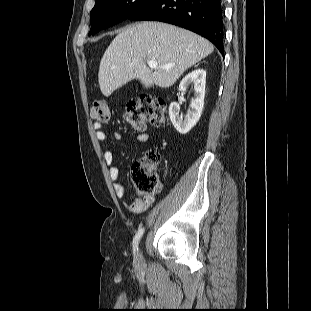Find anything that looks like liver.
Returning a JSON list of instances; mask_svg holds the SVG:
<instances>
[{"instance_id":"6515ba94","label":"liver","mask_w":311,"mask_h":311,"mask_svg":"<svg viewBox=\"0 0 311 311\" xmlns=\"http://www.w3.org/2000/svg\"><path fill=\"white\" fill-rule=\"evenodd\" d=\"M213 49L207 39L167 23L146 21L130 25L118 33L100 61V90L108 97L132 79L140 80L146 88L170 87ZM146 60L157 62L158 68H148ZM165 65L173 67L161 68Z\"/></svg>"}]
</instances>
